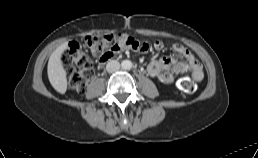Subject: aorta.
I'll list each match as a JSON object with an SVG mask.
<instances>
[{
    "instance_id": "762f6f07",
    "label": "aorta",
    "mask_w": 258,
    "mask_h": 158,
    "mask_svg": "<svg viewBox=\"0 0 258 158\" xmlns=\"http://www.w3.org/2000/svg\"><path fill=\"white\" fill-rule=\"evenodd\" d=\"M121 66L125 70H130L132 68L133 64L130 60H123L121 63Z\"/></svg>"
}]
</instances>
